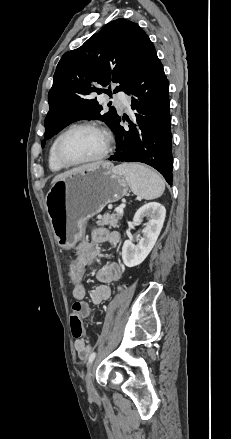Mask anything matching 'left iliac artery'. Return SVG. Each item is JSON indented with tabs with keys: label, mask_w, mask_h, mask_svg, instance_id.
I'll list each match as a JSON object with an SVG mask.
<instances>
[{
	"label": "left iliac artery",
	"mask_w": 231,
	"mask_h": 439,
	"mask_svg": "<svg viewBox=\"0 0 231 439\" xmlns=\"http://www.w3.org/2000/svg\"><path fill=\"white\" fill-rule=\"evenodd\" d=\"M95 357H96V353L95 352L91 353V355L89 356V359H88V366L92 363V361L95 359Z\"/></svg>",
	"instance_id": "1"
}]
</instances>
